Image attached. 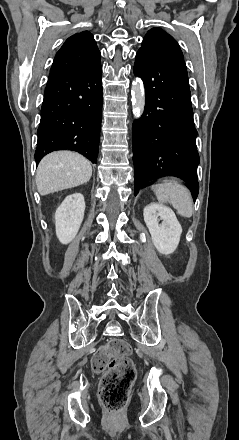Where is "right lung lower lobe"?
<instances>
[{"mask_svg": "<svg viewBox=\"0 0 239 440\" xmlns=\"http://www.w3.org/2000/svg\"><path fill=\"white\" fill-rule=\"evenodd\" d=\"M102 114V67L49 74L37 130L36 164L48 153L73 150L97 162Z\"/></svg>", "mask_w": 239, "mask_h": 440, "instance_id": "right-lung-lower-lobe-1", "label": "right lung lower lobe"}]
</instances>
